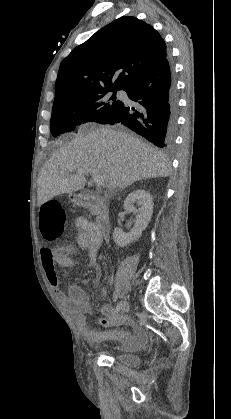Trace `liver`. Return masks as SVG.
<instances>
[{"label":"liver","mask_w":231,"mask_h":419,"mask_svg":"<svg viewBox=\"0 0 231 419\" xmlns=\"http://www.w3.org/2000/svg\"><path fill=\"white\" fill-rule=\"evenodd\" d=\"M81 169L103 175L108 189L169 175L166 157L133 134L111 127L90 129L61 146L44 165L38 177V205L82 190L86 178L75 174Z\"/></svg>","instance_id":"liver-1"}]
</instances>
